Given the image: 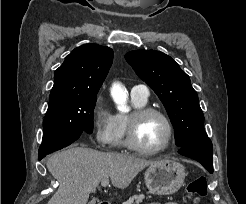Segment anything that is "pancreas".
Returning a JSON list of instances; mask_svg holds the SVG:
<instances>
[{
    "mask_svg": "<svg viewBox=\"0 0 246 204\" xmlns=\"http://www.w3.org/2000/svg\"><path fill=\"white\" fill-rule=\"evenodd\" d=\"M144 199L145 196L143 194L134 195L130 197L127 201L123 202L122 204H140Z\"/></svg>",
    "mask_w": 246,
    "mask_h": 204,
    "instance_id": "obj_1",
    "label": "pancreas"
}]
</instances>
